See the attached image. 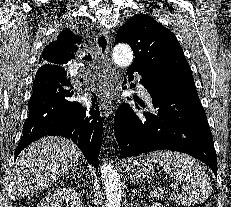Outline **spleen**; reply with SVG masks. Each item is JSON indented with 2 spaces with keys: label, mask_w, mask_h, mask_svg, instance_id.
I'll use <instances>...</instances> for the list:
<instances>
[{
  "label": "spleen",
  "mask_w": 231,
  "mask_h": 207,
  "mask_svg": "<svg viewBox=\"0 0 231 207\" xmlns=\"http://www.w3.org/2000/svg\"><path fill=\"white\" fill-rule=\"evenodd\" d=\"M150 162L163 166L166 174L181 184V191L174 196L177 204L191 206L203 203L211 194L212 186L203 168L190 156L169 150H159L147 155ZM163 189L154 188L152 195L162 198Z\"/></svg>",
  "instance_id": "spleen-1"
}]
</instances>
